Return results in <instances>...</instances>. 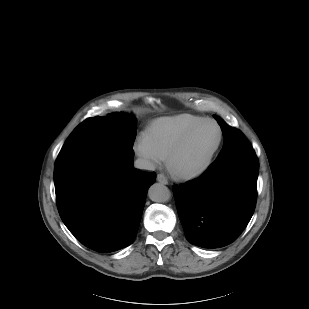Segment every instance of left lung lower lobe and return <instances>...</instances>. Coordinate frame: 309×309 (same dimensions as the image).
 Returning a JSON list of instances; mask_svg holds the SVG:
<instances>
[{
    "label": "left lung lower lobe",
    "instance_id": "left-lung-lower-lobe-1",
    "mask_svg": "<svg viewBox=\"0 0 309 309\" xmlns=\"http://www.w3.org/2000/svg\"><path fill=\"white\" fill-rule=\"evenodd\" d=\"M259 163L253 148L220 159L198 179L174 185L186 239L199 247L219 248L235 241L255 209Z\"/></svg>",
    "mask_w": 309,
    "mask_h": 309
}]
</instances>
